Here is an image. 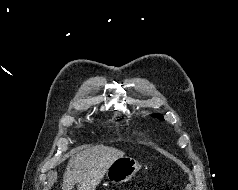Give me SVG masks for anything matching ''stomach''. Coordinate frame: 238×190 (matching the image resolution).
<instances>
[{
    "label": "stomach",
    "mask_w": 238,
    "mask_h": 190,
    "mask_svg": "<svg viewBox=\"0 0 238 190\" xmlns=\"http://www.w3.org/2000/svg\"><path fill=\"white\" fill-rule=\"evenodd\" d=\"M140 164L131 157H121L107 169L106 177L112 183L129 181L140 169Z\"/></svg>",
    "instance_id": "obj_1"
}]
</instances>
